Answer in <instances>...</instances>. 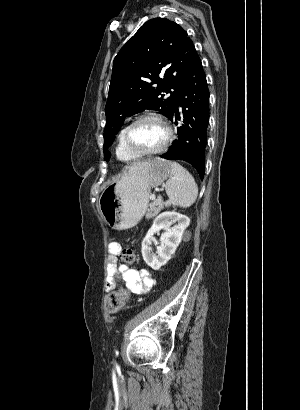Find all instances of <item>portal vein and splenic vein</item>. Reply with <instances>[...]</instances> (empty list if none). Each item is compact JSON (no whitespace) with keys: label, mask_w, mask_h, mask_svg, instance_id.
I'll list each match as a JSON object with an SVG mask.
<instances>
[{"label":"portal vein and splenic vein","mask_w":300,"mask_h":410,"mask_svg":"<svg viewBox=\"0 0 300 410\" xmlns=\"http://www.w3.org/2000/svg\"><path fill=\"white\" fill-rule=\"evenodd\" d=\"M155 195L154 194H152V195H150V199H152V200H155Z\"/></svg>","instance_id":"1"}]
</instances>
